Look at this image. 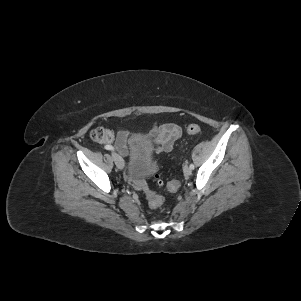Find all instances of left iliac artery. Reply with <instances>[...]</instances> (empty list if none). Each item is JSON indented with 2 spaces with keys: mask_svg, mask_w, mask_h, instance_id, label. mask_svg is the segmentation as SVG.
<instances>
[{
  "mask_svg": "<svg viewBox=\"0 0 301 301\" xmlns=\"http://www.w3.org/2000/svg\"><path fill=\"white\" fill-rule=\"evenodd\" d=\"M189 167H190V169H191V170H193V169H194V165H193V164H190V166H189Z\"/></svg>",
  "mask_w": 301,
  "mask_h": 301,
  "instance_id": "obj_1",
  "label": "left iliac artery"
}]
</instances>
